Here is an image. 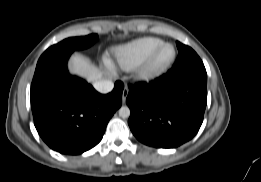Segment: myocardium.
Segmentation results:
<instances>
[{
  "instance_id": "obj_1",
  "label": "myocardium",
  "mask_w": 261,
  "mask_h": 182,
  "mask_svg": "<svg viewBox=\"0 0 261 182\" xmlns=\"http://www.w3.org/2000/svg\"><path fill=\"white\" fill-rule=\"evenodd\" d=\"M165 47H171L173 52L168 61L157 65L156 60ZM176 57V48L171 43H162L136 69L135 80L140 83H149L162 76L172 65Z\"/></svg>"
}]
</instances>
